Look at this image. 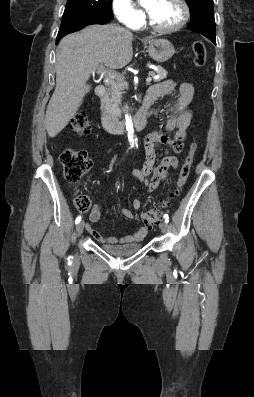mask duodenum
Here are the masks:
<instances>
[{"instance_id":"duodenum-1","label":"duodenum","mask_w":254,"mask_h":397,"mask_svg":"<svg viewBox=\"0 0 254 397\" xmlns=\"http://www.w3.org/2000/svg\"><path fill=\"white\" fill-rule=\"evenodd\" d=\"M107 89L105 86L100 85L96 88V95L101 102V124L102 127L112 133H123L126 130L124 121L117 120L110 116L104 106V100L106 98ZM151 106V100L146 96L142 106L133 116V125L136 129H143L148 121L149 109Z\"/></svg>"}]
</instances>
